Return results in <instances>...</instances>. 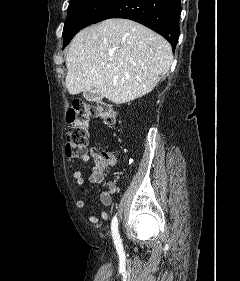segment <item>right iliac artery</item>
I'll list each match as a JSON object with an SVG mask.
<instances>
[{
  "label": "right iliac artery",
  "instance_id": "1",
  "mask_svg": "<svg viewBox=\"0 0 240 281\" xmlns=\"http://www.w3.org/2000/svg\"><path fill=\"white\" fill-rule=\"evenodd\" d=\"M111 231H112V237L114 240V244L117 248L118 251L122 250V242L121 238L118 232V219L116 216L113 217L112 222H111Z\"/></svg>",
  "mask_w": 240,
  "mask_h": 281
}]
</instances>
